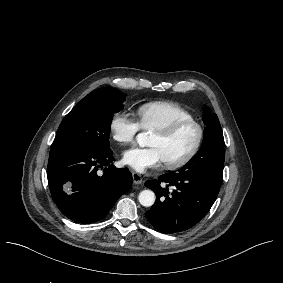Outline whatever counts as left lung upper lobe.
I'll return each instance as SVG.
<instances>
[{
  "instance_id": "5c2ea615",
  "label": "left lung upper lobe",
  "mask_w": 283,
  "mask_h": 283,
  "mask_svg": "<svg viewBox=\"0 0 283 283\" xmlns=\"http://www.w3.org/2000/svg\"><path fill=\"white\" fill-rule=\"evenodd\" d=\"M203 119L206 123L204 140L196 155L177 172L207 175L213 183L221 186L224 167L225 144L218 117L206 106Z\"/></svg>"
}]
</instances>
